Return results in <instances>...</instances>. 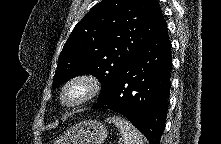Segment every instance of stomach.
Instances as JSON below:
<instances>
[{"instance_id": "0dacf381", "label": "stomach", "mask_w": 221, "mask_h": 144, "mask_svg": "<svg viewBox=\"0 0 221 144\" xmlns=\"http://www.w3.org/2000/svg\"><path fill=\"white\" fill-rule=\"evenodd\" d=\"M108 135L107 127L97 120H84L66 130L58 144H102Z\"/></svg>"}]
</instances>
